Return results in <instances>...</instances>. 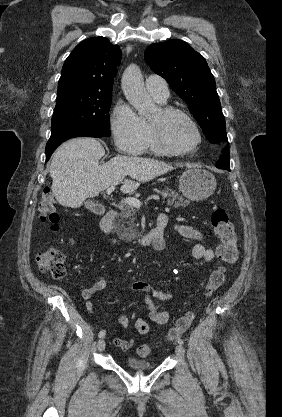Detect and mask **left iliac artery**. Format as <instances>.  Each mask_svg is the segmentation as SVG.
<instances>
[{"mask_svg": "<svg viewBox=\"0 0 282 417\" xmlns=\"http://www.w3.org/2000/svg\"><path fill=\"white\" fill-rule=\"evenodd\" d=\"M177 342H178L179 344H181V345L184 343V342H183V340H182L181 338H178V339H177Z\"/></svg>", "mask_w": 282, "mask_h": 417, "instance_id": "44dca946", "label": "left iliac artery"}]
</instances>
